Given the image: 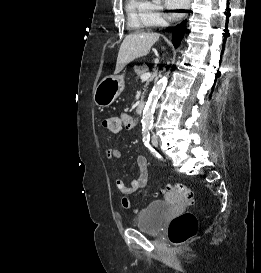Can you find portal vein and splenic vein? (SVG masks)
Masks as SVG:
<instances>
[{
    "mask_svg": "<svg viewBox=\"0 0 261 273\" xmlns=\"http://www.w3.org/2000/svg\"><path fill=\"white\" fill-rule=\"evenodd\" d=\"M151 77V74L149 72H146L140 76L141 80H148Z\"/></svg>",
    "mask_w": 261,
    "mask_h": 273,
    "instance_id": "obj_1",
    "label": "portal vein and splenic vein"
}]
</instances>
